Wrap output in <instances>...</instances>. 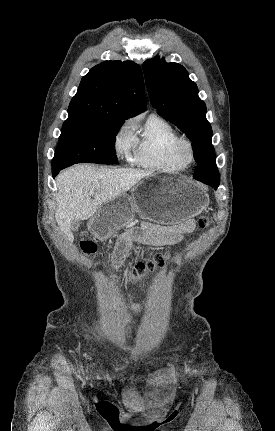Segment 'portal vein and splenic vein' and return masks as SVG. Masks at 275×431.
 <instances>
[{
    "mask_svg": "<svg viewBox=\"0 0 275 431\" xmlns=\"http://www.w3.org/2000/svg\"><path fill=\"white\" fill-rule=\"evenodd\" d=\"M94 193H95L94 191H90L89 192L90 195H94Z\"/></svg>",
    "mask_w": 275,
    "mask_h": 431,
    "instance_id": "obj_1",
    "label": "portal vein and splenic vein"
}]
</instances>
